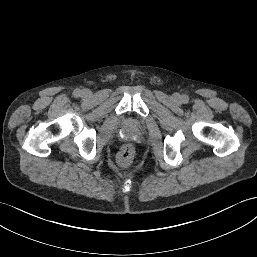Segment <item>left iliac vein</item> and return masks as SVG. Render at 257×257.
Segmentation results:
<instances>
[{
    "label": "left iliac vein",
    "mask_w": 257,
    "mask_h": 257,
    "mask_svg": "<svg viewBox=\"0 0 257 257\" xmlns=\"http://www.w3.org/2000/svg\"><path fill=\"white\" fill-rule=\"evenodd\" d=\"M179 98L178 95H174V99L177 100Z\"/></svg>",
    "instance_id": "4c4485c4"
}]
</instances>
